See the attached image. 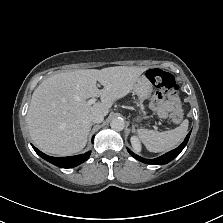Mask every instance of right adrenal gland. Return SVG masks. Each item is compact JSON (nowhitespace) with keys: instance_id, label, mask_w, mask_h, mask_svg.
<instances>
[{"instance_id":"obj_1","label":"right adrenal gland","mask_w":223,"mask_h":223,"mask_svg":"<svg viewBox=\"0 0 223 223\" xmlns=\"http://www.w3.org/2000/svg\"><path fill=\"white\" fill-rule=\"evenodd\" d=\"M94 125V123H91V125H90V130H91V127ZM90 132V131H89Z\"/></svg>"}]
</instances>
